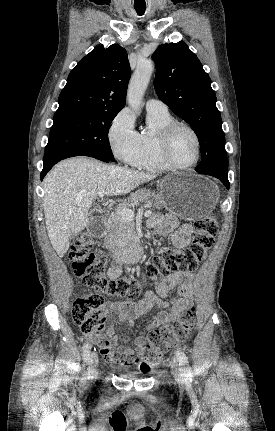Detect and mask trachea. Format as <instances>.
Masks as SVG:
<instances>
[{
	"instance_id": "trachea-1",
	"label": "trachea",
	"mask_w": 275,
	"mask_h": 431,
	"mask_svg": "<svg viewBox=\"0 0 275 431\" xmlns=\"http://www.w3.org/2000/svg\"><path fill=\"white\" fill-rule=\"evenodd\" d=\"M145 9H146V7H142V8L135 7V10L139 16H142L144 14Z\"/></svg>"
}]
</instances>
